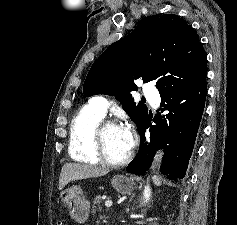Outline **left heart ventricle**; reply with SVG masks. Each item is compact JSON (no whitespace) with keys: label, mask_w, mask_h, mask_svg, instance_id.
Returning <instances> with one entry per match:
<instances>
[{"label":"left heart ventricle","mask_w":237,"mask_h":225,"mask_svg":"<svg viewBox=\"0 0 237 225\" xmlns=\"http://www.w3.org/2000/svg\"><path fill=\"white\" fill-rule=\"evenodd\" d=\"M104 148L106 155L112 161H120L128 155L130 150L123 127H109L105 131Z\"/></svg>","instance_id":"left-heart-ventricle-1"}]
</instances>
